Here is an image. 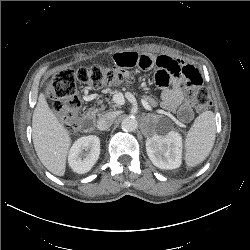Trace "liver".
Returning <instances> with one entry per match:
<instances>
[{
	"instance_id": "1",
	"label": "liver",
	"mask_w": 250,
	"mask_h": 250,
	"mask_svg": "<svg viewBox=\"0 0 250 250\" xmlns=\"http://www.w3.org/2000/svg\"><path fill=\"white\" fill-rule=\"evenodd\" d=\"M32 139L37 156L47 170L63 176L71 138L50 109L43 92L32 117Z\"/></svg>"
}]
</instances>
